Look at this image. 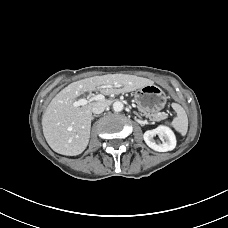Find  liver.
Here are the masks:
<instances>
[{
	"instance_id": "1",
	"label": "liver",
	"mask_w": 228,
	"mask_h": 228,
	"mask_svg": "<svg viewBox=\"0 0 228 228\" xmlns=\"http://www.w3.org/2000/svg\"><path fill=\"white\" fill-rule=\"evenodd\" d=\"M153 80L127 74H107L71 83L49 103L42 116L44 137L51 149L59 154L76 156L87 147L90 138L92 108L97 102L74 106L85 92L101 89L104 95L134 91ZM100 102H107L102 100Z\"/></svg>"
}]
</instances>
